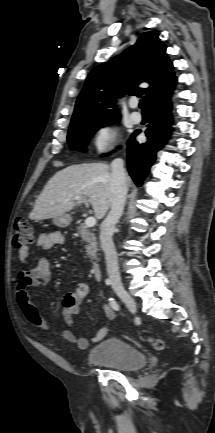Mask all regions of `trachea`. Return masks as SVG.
I'll return each instance as SVG.
<instances>
[{"mask_svg": "<svg viewBox=\"0 0 215 433\" xmlns=\"http://www.w3.org/2000/svg\"><path fill=\"white\" fill-rule=\"evenodd\" d=\"M139 107H140V109H141L142 111H148V110H149V109H148V106H147V103H146V99H145V97H143V98L140 100Z\"/></svg>", "mask_w": 215, "mask_h": 433, "instance_id": "3493384b", "label": "trachea"}]
</instances>
